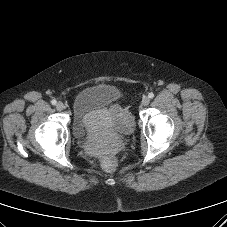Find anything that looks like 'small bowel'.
I'll list each match as a JSON object with an SVG mask.
<instances>
[{
    "instance_id": "obj_1",
    "label": "small bowel",
    "mask_w": 227,
    "mask_h": 227,
    "mask_svg": "<svg viewBox=\"0 0 227 227\" xmlns=\"http://www.w3.org/2000/svg\"><path fill=\"white\" fill-rule=\"evenodd\" d=\"M111 112L115 117H119L121 115V108L119 105H114L111 107Z\"/></svg>"
}]
</instances>
